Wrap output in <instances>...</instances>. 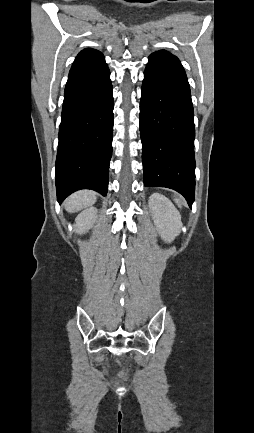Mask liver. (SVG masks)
Returning a JSON list of instances; mask_svg holds the SVG:
<instances>
[{"mask_svg": "<svg viewBox=\"0 0 254 433\" xmlns=\"http://www.w3.org/2000/svg\"><path fill=\"white\" fill-rule=\"evenodd\" d=\"M96 202V193L90 190H81L71 195L65 202L68 212H78L92 206Z\"/></svg>", "mask_w": 254, "mask_h": 433, "instance_id": "obj_1", "label": "liver"}]
</instances>
